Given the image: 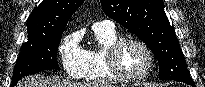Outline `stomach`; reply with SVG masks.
<instances>
[{
  "mask_svg": "<svg viewBox=\"0 0 205 87\" xmlns=\"http://www.w3.org/2000/svg\"><path fill=\"white\" fill-rule=\"evenodd\" d=\"M140 86H141V87H144V85H139L138 87H140Z\"/></svg>",
  "mask_w": 205,
  "mask_h": 87,
  "instance_id": "0dacf381",
  "label": "stomach"
}]
</instances>
